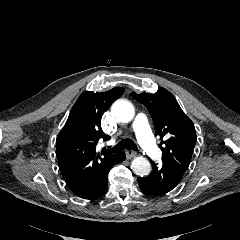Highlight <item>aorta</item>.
<instances>
[{
    "label": "aorta",
    "mask_w": 240,
    "mask_h": 240,
    "mask_svg": "<svg viewBox=\"0 0 240 240\" xmlns=\"http://www.w3.org/2000/svg\"><path fill=\"white\" fill-rule=\"evenodd\" d=\"M112 115L120 122L128 123L135 115L133 105L126 100L116 101L111 108ZM133 172L138 176H147L151 172L150 162L143 156H137L131 163Z\"/></svg>",
    "instance_id": "1"
}]
</instances>
